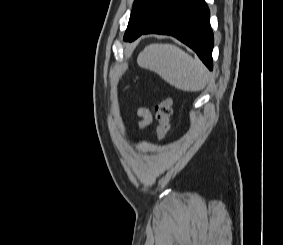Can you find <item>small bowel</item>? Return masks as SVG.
<instances>
[{
  "label": "small bowel",
  "mask_w": 283,
  "mask_h": 245,
  "mask_svg": "<svg viewBox=\"0 0 283 245\" xmlns=\"http://www.w3.org/2000/svg\"><path fill=\"white\" fill-rule=\"evenodd\" d=\"M137 115L140 117L139 128L141 130L146 129L152 122V114L148 108L141 107L137 110Z\"/></svg>",
  "instance_id": "1"
}]
</instances>
